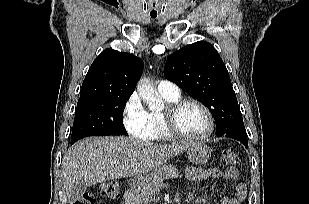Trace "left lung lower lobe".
Instances as JSON below:
<instances>
[{
	"instance_id": "1",
	"label": "left lung lower lobe",
	"mask_w": 309,
	"mask_h": 204,
	"mask_svg": "<svg viewBox=\"0 0 309 204\" xmlns=\"http://www.w3.org/2000/svg\"><path fill=\"white\" fill-rule=\"evenodd\" d=\"M217 136H226L229 138H233V139L240 141L242 144H244L245 147L248 146V140H247L246 130L244 126L228 130L224 134L217 135Z\"/></svg>"
}]
</instances>
